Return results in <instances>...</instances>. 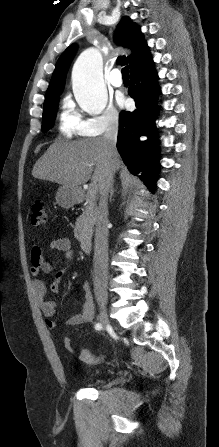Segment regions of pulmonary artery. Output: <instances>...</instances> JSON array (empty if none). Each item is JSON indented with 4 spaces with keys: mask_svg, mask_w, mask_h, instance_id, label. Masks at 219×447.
Here are the masks:
<instances>
[{
    "mask_svg": "<svg viewBox=\"0 0 219 447\" xmlns=\"http://www.w3.org/2000/svg\"><path fill=\"white\" fill-rule=\"evenodd\" d=\"M108 82L114 87H121L123 79L119 69H113L107 77Z\"/></svg>",
    "mask_w": 219,
    "mask_h": 447,
    "instance_id": "1",
    "label": "pulmonary artery"
}]
</instances>
